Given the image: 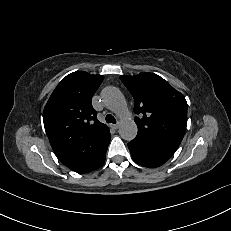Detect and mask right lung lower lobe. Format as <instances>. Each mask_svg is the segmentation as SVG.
Wrapping results in <instances>:
<instances>
[{
    "label": "right lung lower lobe",
    "mask_w": 231,
    "mask_h": 231,
    "mask_svg": "<svg viewBox=\"0 0 231 231\" xmlns=\"http://www.w3.org/2000/svg\"><path fill=\"white\" fill-rule=\"evenodd\" d=\"M110 138L111 135L109 133L103 140V142L100 144L98 150L95 152L92 158L88 160L86 163H82L80 166L74 169V171L78 173H88L101 167L105 161V155L110 142Z\"/></svg>",
    "instance_id": "right-lung-lower-lobe-1"
}]
</instances>
